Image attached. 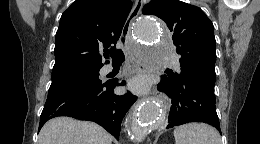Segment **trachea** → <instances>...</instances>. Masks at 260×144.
I'll list each match as a JSON object with an SVG mask.
<instances>
[{"label":"trachea","instance_id":"3493384b","mask_svg":"<svg viewBox=\"0 0 260 144\" xmlns=\"http://www.w3.org/2000/svg\"><path fill=\"white\" fill-rule=\"evenodd\" d=\"M111 58L113 60V63H122L125 60V56L122 52V50H115V51H111Z\"/></svg>","mask_w":260,"mask_h":144}]
</instances>
